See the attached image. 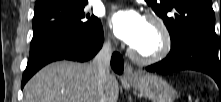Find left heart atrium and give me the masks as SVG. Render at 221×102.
<instances>
[{"label":"left heart atrium","mask_w":221,"mask_h":102,"mask_svg":"<svg viewBox=\"0 0 221 102\" xmlns=\"http://www.w3.org/2000/svg\"><path fill=\"white\" fill-rule=\"evenodd\" d=\"M145 21V18L133 9L116 11L110 17V25L115 35L131 46L141 37Z\"/></svg>","instance_id":"39dd6f15"}]
</instances>
